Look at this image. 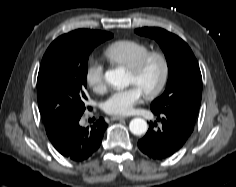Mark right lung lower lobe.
Listing matches in <instances>:
<instances>
[{
	"label": "right lung lower lobe",
	"mask_w": 236,
	"mask_h": 187,
	"mask_svg": "<svg viewBox=\"0 0 236 187\" xmlns=\"http://www.w3.org/2000/svg\"><path fill=\"white\" fill-rule=\"evenodd\" d=\"M79 120L77 118L67 124L51 141L61 155L74 162H82L96 152L107 128L103 118L97 120L90 129L80 127Z\"/></svg>",
	"instance_id": "98d812e1"
}]
</instances>
